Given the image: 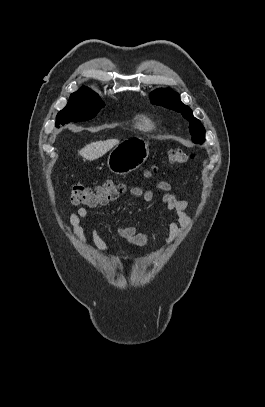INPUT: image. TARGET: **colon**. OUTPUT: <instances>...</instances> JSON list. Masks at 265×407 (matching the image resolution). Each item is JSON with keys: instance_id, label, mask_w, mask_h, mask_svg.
<instances>
[{"instance_id": "obj_1", "label": "colon", "mask_w": 265, "mask_h": 407, "mask_svg": "<svg viewBox=\"0 0 265 407\" xmlns=\"http://www.w3.org/2000/svg\"><path fill=\"white\" fill-rule=\"evenodd\" d=\"M191 158L189 153L181 149H172L167 153L169 164H185ZM123 190L124 185L118 179H107L94 186L73 184L70 187V200L74 205L92 207L114 199Z\"/></svg>"}]
</instances>
